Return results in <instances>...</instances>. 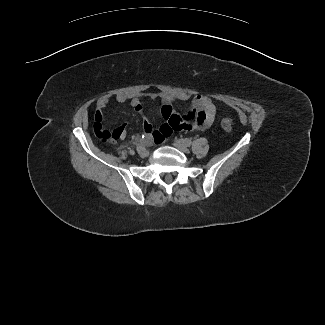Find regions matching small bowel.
<instances>
[{
  "mask_svg": "<svg viewBox=\"0 0 325 325\" xmlns=\"http://www.w3.org/2000/svg\"><path fill=\"white\" fill-rule=\"evenodd\" d=\"M144 98L159 100L161 102L160 113L166 121L159 129L155 130L151 121L145 116ZM111 100L119 103H129L142 117L143 130L146 134L153 136L157 141H162L174 131L205 130L212 126L218 112L217 104L209 97L201 95H190L185 92L176 93H149L139 95L132 93H116L102 96L97 102L95 121L103 123V111ZM175 101H190L191 109L187 114L180 116L174 110L172 104ZM114 130L121 131L120 138L126 135V124L116 127Z\"/></svg>",
  "mask_w": 325,
  "mask_h": 325,
  "instance_id": "1",
  "label": "small bowel"
}]
</instances>
